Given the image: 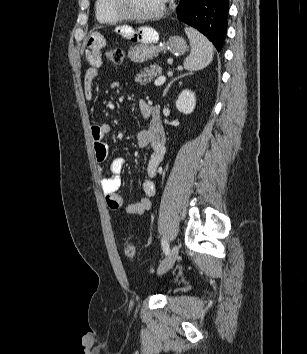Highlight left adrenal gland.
I'll list each match as a JSON object with an SVG mask.
<instances>
[{
	"label": "left adrenal gland",
	"instance_id": "1",
	"mask_svg": "<svg viewBox=\"0 0 307 354\" xmlns=\"http://www.w3.org/2000/svg\"><path fill=\"white\" fill-rule=\"evenodd\" d=\"M190 74H191V73H189V74H184V75H181V76H179V77H176V78L172 79V80L168 83V85L166 86V88L164 89L163 97L167 94L169 88L171 87V85H172L175 81H177L178 79L183 78V77H185V76H187V75H190Z\"/></svg>",
	"mask_w": 307,
	"mask_h": 354
}]
</instances>
